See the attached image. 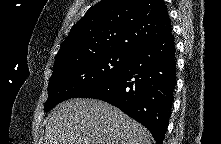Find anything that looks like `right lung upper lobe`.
Returning a JSON list of instances; mask_svg holds the SVG:
<instances>
[{"label": "right lung upper lobe", "instance_id": "1", "mask_svg": "<svg viewBox=\"0 0 221 144\" xmlns=\"http://www.w3.org/2000/svg\"><path fill=\"white\" fill-rule=\"evenodd\" d=\"M171 30L163 0H102L73 25L54 68L110 51L132 55Z\"/></svg>", "mask_w": 221, "mask_h": 144}]
</instances>
